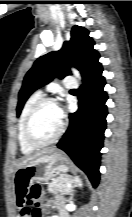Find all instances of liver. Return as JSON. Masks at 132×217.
I'll return each mask as SVG.
<instances>
[{
	"instance_id": "6515ba94",
	"label": "liver",
	"mask_w": 132,
	"mask_h": 217,
	"mask_svg": "<svg viewBox=\"0 0 132 217\" xmlns=\"http://www.w3.org/2000/svg\"><path fill=\"white\" fill-rule=\"evenodd\" d=\"M58 151L57 149H54V148H48V149H44L40 152H37L33 155H30V156H25L23 158H21L18 162H17V168L25 165L26 163H28L29 161H32L42 155H46V154H52L54 152Z\"/></svg>"
}]
</instances>
